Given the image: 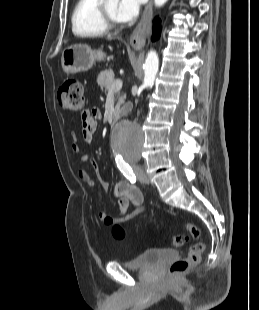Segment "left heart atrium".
<instances>
[{
  "label": "left heart atrium",
  "mask_w": 259,
  "mask_h": 310,
  "mask_svg": "<svg viewBox=\"0 0 259 310\" xmlns=\"http://www.w3.org/2000/svg\"><path fill=\"white\" fill-rule=\"evenodd\" d=\"M143 0H120L116 10L118 22H130L134 20L139 11Z\"/></svg>",
  "instance_id": "39dd6f15"
}]
</instances>
